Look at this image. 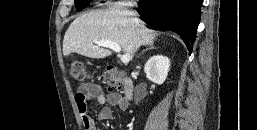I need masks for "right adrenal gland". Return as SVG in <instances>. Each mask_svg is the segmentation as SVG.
Segmentation results:
<instances>
[{
	"label": "right adrenal gland",
	"mask_w": 257,
	"mask_h": 130,
	"mask_svg": "<svg viewBox=\"0 0 257 130\" xmlns=\"http://www.w3.org/2000/svg\"><path fill=\"white\" fill-rule=\"evenodd\" d=\"M153 49H155V47L153 46V44H149L148 47L142 51L141 54H144V53L147 52L148 50H153Z\"/></svg>",
	"instance_id": "2a0ac1e0"
}]
</instances>
